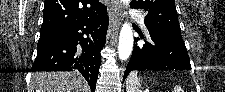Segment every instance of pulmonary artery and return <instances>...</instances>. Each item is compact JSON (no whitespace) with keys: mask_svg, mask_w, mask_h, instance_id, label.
<instances>
[{"mask_svg":"<svg viewBox=\"0 0 225 92\" xmlns=\"http://www.w3.org/2000/svg\"><path fill=\"white\" fill-rule=\"evenodd\" d=\"M131 16L136 18L137 22L141 25V26H145V15L140 13V12H136V11H132L131 12Z\"/></svg>","mask_w":225,"mask_h":92,"instance_id":"1","label":"pulmonary artery"}]
</instances>
